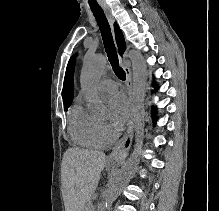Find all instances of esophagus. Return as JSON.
Listing matches in <instances>:
<instances>
[{
	"label": "esophagus",
	"mask_w": 219,
	"mask_h": 211,
	"mask_svg": "<svg viewBox=\"0 0 219 211\" xmlns=\"http://www.w3.org/2000/svg\"><path fill=\"white\" fill-rule=\"evenodd\" d=\"M102 8L104 10V13L108 19L109 24L113 28V24L115 22V19L107 5H102ZM120 63L123 67V70L126 74V87L128 91V100L130 104L131 109V116L128 121V126L125 132V135L121 142L116 146V148L113 150V152L108 157V162L111 164L118 165L121 161L124 160L125 156H127L133 140L134 135V113H133V97H132V73L130 71L129 66L125 65L123 58L119 56Z\"/></svg>",
	"instance_id": "1"
}]
</instances>
